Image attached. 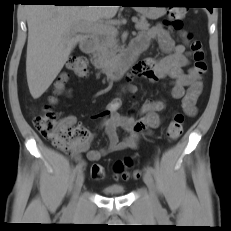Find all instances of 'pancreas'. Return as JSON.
Listing matches in <instances>:
<instances>
[{
	"label": "pancreas",
	"instance_id": "cf45deb5",
	"mask_svg": "<svg viewBox=\"0 0 231 231\" xmlns=\"http://www.w3.org/2000/svg\"><path fill=\"white\" fill-rule=\"evenodd\" d=\"M150 24L145 18L137 20L135 28L140 31H146ZM116 35H103L101 42L94 53V65L99 68L108 69L114 65L117 53L120 48L117 44Z\"/></svg>",
	"mask_w": 231,
	"mask_h": 231
}]
</instances>
